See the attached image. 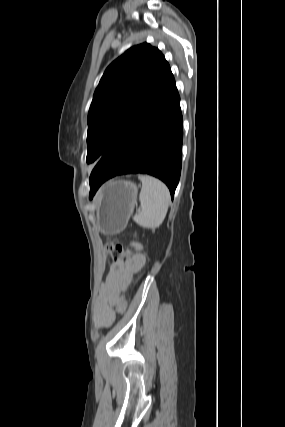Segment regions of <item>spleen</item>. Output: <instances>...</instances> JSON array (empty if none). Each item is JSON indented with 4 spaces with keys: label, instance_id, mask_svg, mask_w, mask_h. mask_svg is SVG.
<instances>
[{
    "label": "spleen",
    "instance_id": "spleen-1",
    "mask_svg": "<svg viewBox=\"0 0 285 427\" xmlns=\"http://www.w3.org/2000/svg\"><path fill=\"white\" fill-rule=\"evenodd\" d=\"M142 188L139 195L141 211L136 213L133 220L144 228H156L164 221L170 201L167 186L160 180L139 175Z\"/></svg>",
    "mask_w": 285,
    "mask_h": 427
}]
</instances>
